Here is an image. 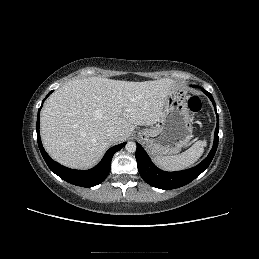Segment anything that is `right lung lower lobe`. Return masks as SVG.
Here are the masks:
<instances>
[{
    "label": "right lung lower lobe",
    "instance_id": "98d812e1",
    "mask_svg": "<svg viewBox=\"0 0 259 259\" xmlns=\"http://www.w3.org/2000/svg\"><path fill=\"white\" fill-rule=\"evenodd\" d=\"M52 93V91L46 96V98ZM45 98V99H46ZM43 103V102H42ZM42 107V106H41ZM41 107L38 111V118H37V124H36V131H37V141L38 146L41 151V154L47 163L48 167L52 172H54L56 175H58L60 178L65 180L66 182H69L71 184L82 186V187H93L95 185L100 184L103 182L106 177L108 176L110 169H111V160L113 155L122 149L126 143H122L116 146L111 147L104 155L102 160L92 169L90 170H73L67 167H64L60 165L59 163L55 162L44 150L41 138H40V132H39V114Z\"/></svg>",
    "mask_w": 259,
    "mask_h": 259
}]
</instances>
